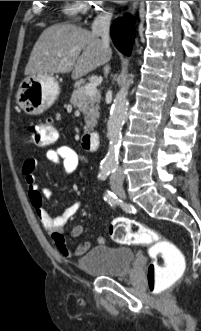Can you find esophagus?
Listing matches in <instances>:
<instances>
[{
    "label": "esophagus",
    "mask_w": 201,
    "mask_h": 331,
    "mask_svg": "<svg viewBox=\"0 0 201 331\" xmlns=\"http://www.w3.org/2000/svg\"><path fill=\"white\" fill-rule=\"evenodd\" d=\"M139 1H133L132 3V13L134 14L138 8Z\"/></svg>",
    "instance_id": "1"
}]
</instances>
